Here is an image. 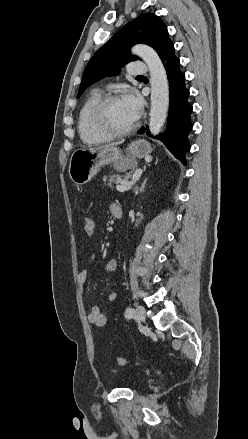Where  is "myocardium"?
<instances>
[{
    "mask_svg": "<svg viewBox=\"0 0 248 439\" xmlns=\"http://www.w3.org/2000/svg\"><path fill=\"white\" fill-rule=\"evenodd\" d=\"M121 97L117 94H108L101 97L93 106L91 111V122L93 126L100 132L109 135L111 137H122L132 133L138 126L137 119L135 122L125 129H115L111 127L106 119V111L108 106Z\"/></svg>",
    "mask_w": 248,
    "mask_h": 439,
    "instance_id": "myocardium-1",
    "label": "myocardium"
}]
</instances>
